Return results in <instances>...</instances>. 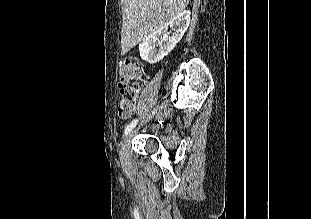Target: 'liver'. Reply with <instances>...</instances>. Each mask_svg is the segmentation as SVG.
Listing matches in <instances>:
<instances>
[{"mask_svg": "<svg viewBox=\"0 0 311 219\" xmlns=\"http://www.w3.org/2000/svg\"><path fill=\"white\" fill-rule=\"evenodd\" d=\"M121 3V55H124L183 12L189 0H121Z\"/></svg>", "mask_w": 311, "mask_h": 219, "instance_id": "liver-1", "label": "liver"}]
</instances>
